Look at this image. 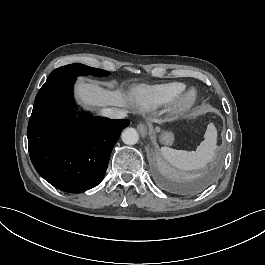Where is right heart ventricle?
<instances>
[{
    "instance_id": "1",
    "label": "right heart ventricle",
    "mask_w": 265,
    "mask_h": 265,
    "mask_svg": "<svg viewBox=\"0 0 265 265\" xmlns=\"http://www.w3.org/2000/svg\"><path fill=\"white\" fill-rule=\"evenodd\" d=\"M185 85L182 80L139 85L131 90L130 101L139 111L145 112L172 102Z\"/></svg>"
}]
</instances>
